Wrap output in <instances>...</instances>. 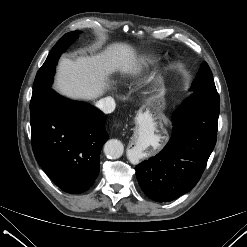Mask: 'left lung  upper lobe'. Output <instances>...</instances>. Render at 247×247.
I'll return each instance as SVG.
<instances>
[{
  "label": "left lung upper lobe",
  "instance_id": "5c2ea615",
  "mask_svg": "<svg viewBox=\"0 0 247 247\" xmlns=\"http://www.w3.org/2000/svg\"><path fill=\"white\" fill-rule=\"evenodd\" d=\"M191 90L203 93L211 99L219 101V94L215 87L213 75L206 62L201 64V67L192 82Z\"/></svg>",
  "mask_w": 247,
  "mask_h": 247
}]
</instances>
